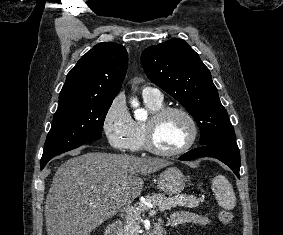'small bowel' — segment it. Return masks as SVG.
Segmentation results:
<instances>
[{
    "mask_svg": "<svg viewBox=\"0 0 283 235\" xmlns=\"http://www.w3.org/2000/svg\"><path fill=\"white\" fill-rule=\"evenodd\" d=\"M170 223L174 227L189 223L206 225L209 223V220L207 217L200 214H196L188 211H180L172 215Z\"/></svg>",
    "mask_w": 283,
    "mask_h": 235,
    "instance_id": "small-bowel-1",
    "label": "small bowel"
}]
</instances>
